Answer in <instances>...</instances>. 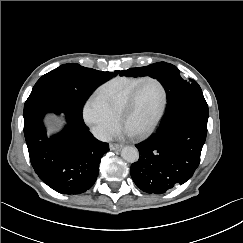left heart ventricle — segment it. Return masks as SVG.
Here are the masks:
<instances>
[{
    "mask_svg": "<svg viewBox=\"0 0 243 243\" xmlns=\"http://www.w3.org/2000/svg\"><path fill=\"white\" fill-rule=\"evenodd\" d=\"M162 102V91L156 82L144 83L136 96L132 108L128 111L124 126L133 133L150 125Z\"/></svg>",
    "mask_w": 243,
    "mask_h": 243,
    "instance_id": "1",
    "label": "left heart ventricle"
}]
</instances>
